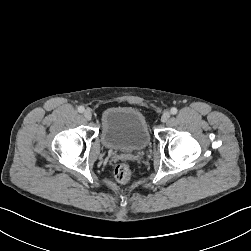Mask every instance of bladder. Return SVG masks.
<instances>
[{"label":"bladder","instance_id":"1","mask_svg":"<svg viewBox=\"0 0 251 251\" xmlns=\"http://www.w3.org/2000/svg\"><path fill=\"white\" fill-rule=\"evenodd\" d=\"M101 140L110 149L132 152L146 148L150 132L145 116L132 107H111L101 117Z\"/></svg>","mask_w":251,"mask_h":251}]
</instances>
